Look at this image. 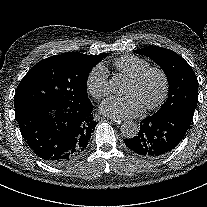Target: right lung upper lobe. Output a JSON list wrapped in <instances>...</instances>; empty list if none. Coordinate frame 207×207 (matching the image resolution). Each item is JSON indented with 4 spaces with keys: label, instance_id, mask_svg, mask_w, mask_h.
<instances>
[{
    "label": "right lung upper lobe",
    "instance_id": "right-lung-upper-lobe-1",
    "mask_svg": "<svg viewBox=\"0 0 207 207\" xmlns=\"http://www.w3.org/2000/svg\"><path fill=\"white\" fill-rule=\"evenodd\" d=\"M66 54L74 56L82 61L94 64V65L98 64L103 58H105L108 55V53H104L101 55L94 56V55L82 54L79 52H70V53H66Z\"/></svg>",
    "mask_w": 207,
    "mask_h": 207
}]
</instances>
